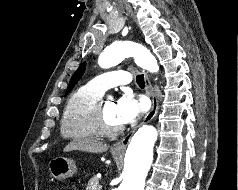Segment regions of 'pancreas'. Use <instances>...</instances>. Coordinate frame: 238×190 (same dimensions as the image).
<instances>
[{
    "mask_svg": "<svg viewBox=\"0 0 238 190\" xmlns=\"http://www.w3.org/2000/svg\"><path fill=\"white\" fill-rule=\"evenodd\" d=\"M99 179L92 177L87 184L86 190H99Z\"/></svg>",
    "mask_w": 238,
    "mask_h": 190,
    "instance_id": "pancreas-1",
    "label": "pancreas"
}]
</instances>
